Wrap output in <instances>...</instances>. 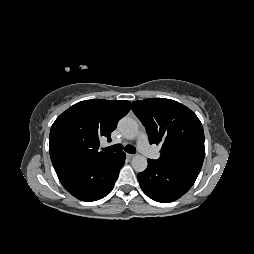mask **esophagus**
Segmentation results:
<instances>
[{
  "mask_svg": "<svg viewBox=\"0 0 254 254\" xmlns=\"http://www.w3.org/2000/svg\"><path fill=\"white\" fill-rule=\"evenodd\" d=\"M134 156H135L134 154H126V157H127L128 159H132Z\"/></svg>",
  "mask_w": 254,
  "mask_h": 254,
  "instance_id": "1",
  "label": "esophagus"
}]
</instances>
